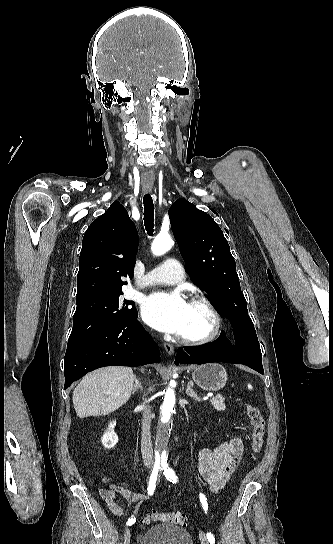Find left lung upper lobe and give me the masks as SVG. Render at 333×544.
<instances>
[{
  "label": "left lung upper lobe",
  "mask_w": 333,
  "mask_h": 544,
  "mask_svg": "<svg viewBox=\"0 0 333 544\" xmlns=\"http://www.w3.org/2000/svg\"><path fill=\"white\" fill-rule=\"evenodd\" d=\"M169 217L191 280L207 292L232 324L248 319L235 260L221 228L184 199L171 206Z\"/></svg>",
  "instance_id": "1"
}]
</instances>
